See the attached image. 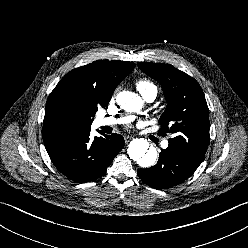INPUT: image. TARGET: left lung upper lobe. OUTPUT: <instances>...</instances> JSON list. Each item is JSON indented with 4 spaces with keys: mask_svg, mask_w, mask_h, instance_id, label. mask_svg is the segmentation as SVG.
<instances>
[{
    "mask_svg": "<svg viewBox=\"0 0 248 248\" xmlns=\"http://www.w3.org/2000/svg\"><path fill=\"white\" fill-rule=\"evenodd\" d=\"M138 67L158 81L167 107L158 134H173L169 145L189 158L202 162L209 143L208 106L198 82L169 64L138 62Z\"/></svg>",
    "mask_w": 248,
    "mask_h": 248,
    "instance_id": "left-lung-upper-lobe-1",
    "label": "left lung upper lobe"
}]
</instances>
